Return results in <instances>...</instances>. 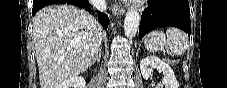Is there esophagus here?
I'll return each mask as SVG.
<instances>
[{
    "mask_svg": "<svg viewBox=\"0 0 227 88\" xmlns=\"http://www.w3.org/2000/svg\"><path fill=\"white\" fill-rule=\"evenodd\" d=\"M112 13L114 15H122L125 13V9H124V7H119V6L115 5L112 7Z\"/></svg>",
    "mask_w": 227,
    "mask_h": 88,
    "instance_id": "esophagus-1",
    "label": "esophagus"
}]
</instances>
